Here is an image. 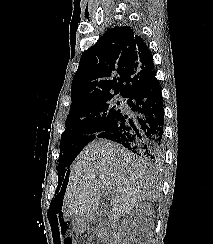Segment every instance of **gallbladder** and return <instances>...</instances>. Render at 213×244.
<instances>
[{
    "mask_svg": "<svg viewBox=\"0 0 213 244\" xmlns=\"http://www.w3.org/2000/svg\"><path fill=\"white\" fill-rule=\"evenodd\" d=\"M93 222L98 227L110 225L112 220H111L110 213H109L108 209L100 208L98 210V212L96 213V216H95Z\"/></svg>",
    "mask_w": 213,
    "mask_h": 244,
    "instance_id": "1",
    "label": "gallbladder"
}]
</instances>
